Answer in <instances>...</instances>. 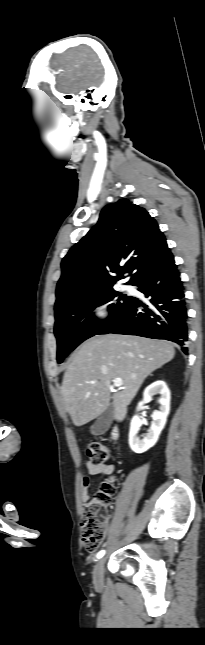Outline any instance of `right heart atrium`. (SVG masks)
<instances>
[{"instance_id": "1", "label": "right heart atrium", "mask_w": 205, "mask_h": 645, "mask_svg": "<svg viewBox=\"0 0 205 645\" xmlns=\"http://www.w3.org/2000/svg\"><path fill=\"white\" fill-rule=\"evenodd\" d=\"M89 317L98 325L105 324L111 317V309L104 301H96L89 308Z\"/></svg>"}]
</instances>
